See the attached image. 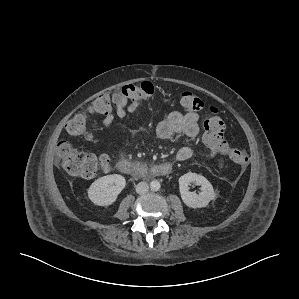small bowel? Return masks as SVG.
<instances>
[{"instance_id": "c3829d8e", "label": "small bowel", "mask_w": 299, "mask_h": 299, "mask_svg": "<svg viewBox=\"0 0 299 299\" xmlns=\"http://www.w3.org/2000/svg\"><path fill=\"white\" fill-rule=\"evenodd\" d=\"M113 107L104 115L103 127L108 130L116 117L125 118L137 111L139 101H132L125 97L121 91L111 94ZM200 133L199 114L195 112L181 113L174 111L156 127V135L160 139H169L175 135L183 134L188 137H196ZM191 147L184 145L176 153L179 161H185L192 156Z\"/></svg>"}]
</instances>
